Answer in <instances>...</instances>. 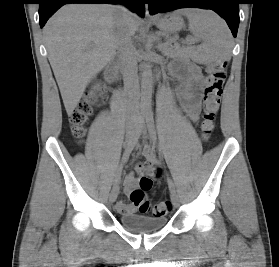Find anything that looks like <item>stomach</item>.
<instances>
[{
	"instance_id": "0dacf381",
	"label": "stomach",
	"mask_w": 279,
	"mask_h": 267,
	"mask_svg": "<svg viewBox=\"0 0 279 267\" xmlns=\"http://www.w3.org/2000/svg\"><path fill=\"white\" fill-rule=\"evenodd\" d=\"M157 27L165 34H174L184 26V20L177 13H170L155 20Z\"/></svg>"
}]
</instances>
